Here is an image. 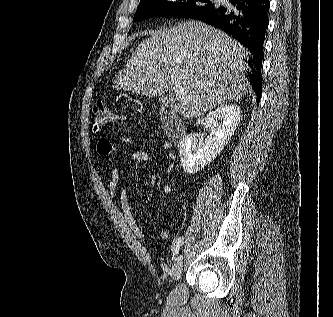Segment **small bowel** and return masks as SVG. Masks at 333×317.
I'll return each mask as SVG.
<instances>
[{
    "mask_svg": "<svg viewBox=\"0 0 333 317\" xmlns=\"http://www.w3.org/2000/svg\"><path fill=\"white\" fill-rule=\"evenodd\" d=\"M120 143L129 144L130 138L123 137L120 139ZM115 150H116V146L108 138L103 137L98 140L97 152L102 157H107L109 154H111ZM152 161H153V157L144 151H135L129 156V162H131V163H137V162L149 163ZM120 177H121L120 170L117 167H113L111 169V174H110L109 194L111 197L114 198L116 193L118 192L121 209H122L124 218H125L128 226L131 228V230L134 232V234L137 237L144 238L145 237L144 232L138 226L137 222L135 221V219L133 218V216L131 214L130 203H129V199L127 197V193L123 188L120 187ZM162 190L166 196H171L174 192L173 187L169 184L164 185ZM159 236L162 239H166L169 236L168 229L166 227L163 228L159 232Z\"/></svg>",
    "mask_w": 333,
    "mask_h": 317,
    "instance_id": "small-bowel-1",
    "label": "small bowel"
}]
</instances>
